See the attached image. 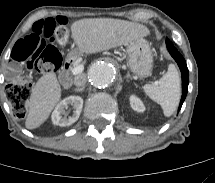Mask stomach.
<instances>
[{
  "mask_svg": "<svg viewBox=\"0 0 215 183\" xmlns=\"http://www.w3.org/2000/svg\"><path fill=\"white\" fill-rule=\"evenodd\" d=\"M126 52L128 54V66L130 70L139 77H147L151 74L153 68V55L148 42L139 38L128 45H126ZM79 50H74L69 53L70 59L80 56Z\"/></svg>",
  "mask_w": 215,
  "mask_h": 183,
  "instance_id": "0dacf381",
  "label": "stomach"
}]
</instances>
